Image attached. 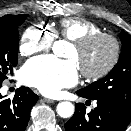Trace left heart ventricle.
I'll return each instance as SVG.
<instances>
[{"label": "left heart ventricle", "instance_id": "obj_1", "mask_svg": "<svg viewBox=\"0 0 131 131\" xmlns=\"http://www.w3.org/2000/svg\"><path fill=\"white\" fill-rule=\"evenodd\" d=\"M112 45L105 39H100L83 50L72 46L68 58L74 60L79 69L87 72H96L102 69L110 60Z\"/></svg>", "mask_w": 131, "mask_h": 131}]
</instances>
